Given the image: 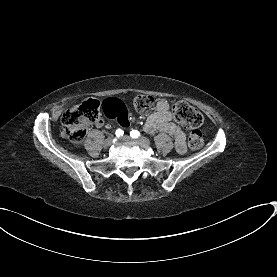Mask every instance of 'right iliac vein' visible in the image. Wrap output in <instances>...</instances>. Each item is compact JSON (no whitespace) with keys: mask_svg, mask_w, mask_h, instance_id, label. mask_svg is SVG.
I'll return each instance as SVG.
<instances>
[{"mask_svg":"<svg viewBox=\"0 0 277 277\" xmlns=\"http://www.w3.org/2000/svg\"><path fill=\"white\" fill-rule=\"evenodd\" d=\"M112 142H113V139H112V138H108V139H106V140L104 141L103 146H104L105 148H108L109 146H111Z\"/></svg>","mask_w":277,"mask_h":277,"instance_id":"63e3f726","label":"right iliac vein"}]
</instances>
